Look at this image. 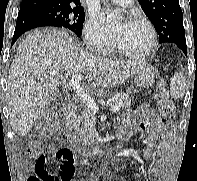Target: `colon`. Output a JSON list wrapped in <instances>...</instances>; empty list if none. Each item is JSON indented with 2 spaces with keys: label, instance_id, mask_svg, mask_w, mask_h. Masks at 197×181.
I'll use <instances>...</instances> for the list:
<instances>
[{
  "label": "colon",
  "instance_id": "5ec220e1",
  "mask_svg": "<svg viewBox=\"0 0 197 181\" xmlns=\"http://www.w3.org/2000/svg\"><path fill=\"white\" fill-rule=\"evenodd\" d=\"M157 104L163 117L167 119L174 117V104L164 85L160 86L157 91ZM56 130L57 123L50 115H45L37 128L38 134L42 136L50 135ZM29 156L34 165V172L28 181H70L74 174V154L70 149H60L56 153V158L59 161V171L57 174H53L45 168V156L40 151H31Z\"/></svg>",
  "mask_w": 197,
  "mask_h": 181
}]
</instances>
